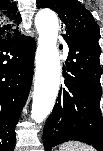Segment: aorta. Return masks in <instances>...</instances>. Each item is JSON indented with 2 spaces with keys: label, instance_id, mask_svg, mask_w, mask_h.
Returning <instances> with one entry per match:
<instances>
[{
  "label": "aorta",
  "instance_id": "aorta-1",
  "mask_svg": "<svg viewBox=\"0 0 103 151\" xmlns=\"http://www.w3.org/2000/svg\"><path fill=\"white\" fill-rule=\"evenodd\" d=\"M35 25L39 37L31 118L41 123L51 113L59 91L58 17L52 10H40L35 17Z\"/></svg>",
  "mask_w": 103,
  "mask_h": 151
}]
</instances>
